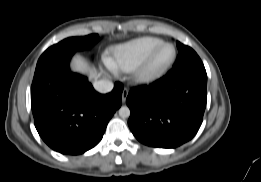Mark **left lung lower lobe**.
<instances>
[{
    "instance_id": "left-lung-lower-lobe-1",
    "label": "left lung lower lobe",
    "mask_w": 261,
    "mask_h": 182,
    "mask_svg": "<svg viewBox=\"0 0 261 182\" xmlns=\"http://www.w3.org/2000/svg\"><path fill=\"white\" fill-rule=\"evenodd\" d=\"M205 69L166 74L149 86L132 89L126 99L128 125L143 144L175 148L199 130L207 101Z\"/></svg>"
}]
</instances>
